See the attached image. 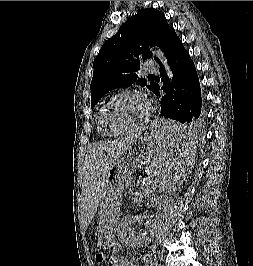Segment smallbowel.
Wrapping results in <instances>:
<instances>
[{
  "mask_svg": "<svg viewBox=\"0 0 253 266\" xmlns=\"http://www.w3.org/2000/svg\"><path fill=\"white\" fill-rule=\"evenodd\" d=\"M111 258H113V257H111ZM116 259L118 261V266H137L135 263L128 261V260H125L123 258H116ZM144 261L146 263V266H151L152 256L150 254L144 255Z\"/></svg>",
  "mask_w": 253,
  "mask_h": 266,
  "instance_id": "1",
  "label": "small bowel"
}]
</instances>
